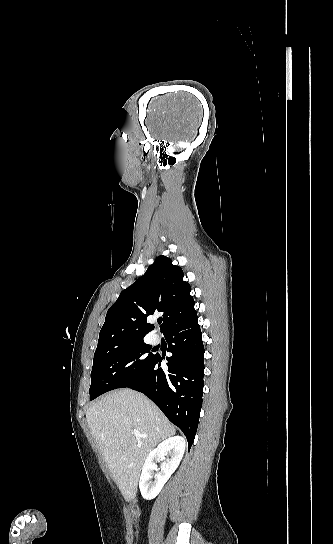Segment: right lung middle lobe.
Masks as SVG:
<instances>
[{"mask_svg": "<svg viewBox=\"0 0 333 544\" xmlns=\"http://www.w3.org/2000/svg\"><path fill=\"white\" fill-rule=\"evenodd\" d=\"M143 338L99 343L91 371L90 400L137 381L156 354Z\"/></svg>", "mask_w": 333, "mask_h": 544, "instance_id": "1", "label": "right lung middle lobe"}]
</instances>
